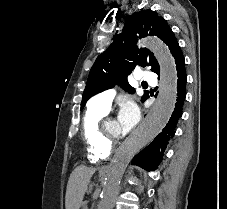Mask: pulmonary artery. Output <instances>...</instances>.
<instances>
[{
    "label": "pulmonary artery",
    "instance_id": "pulmonary-artery-1",
    "mask_svg": "<svg viewBox=\"0 0 227 209\" xmlns=\"http://www.w3.org/2000/svg\"><path fill=\"white\" fill-rule=\"evenodd\" d=\"M134 74H138V71H134ZM142 77V83H153V78L156 77V74L151 73L150 70H145ZM106 93H108V95H106ZM112 95L113 92L109 91L108 88H105L104 91L100 92V95H92V100H86V105H95L101 109H108L112 100Z\"/></svg>",
    "mask_w": 227,
    "mask_h": 209
}]
</instances>
